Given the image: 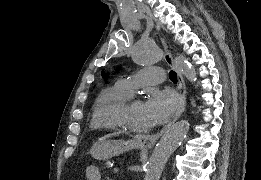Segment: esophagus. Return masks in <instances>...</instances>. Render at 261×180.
<instances>
[{"instance_id": "34e87169", "label": "esophagus", "mask_w": 261, "mask_h": 180, "mask_svg": "<svg viewBox=\"0 0 261 180\" xmlns=\"http://www.w3.org/2000/svg\"><path fill=\"white\" fill-rule=\"evenodd\" d=\"M161 42H162L163 48H164V60L168 65L175 68L177 76H178L180 105H179V108H178L176 114L171 118L169 123H167V125H165L162 128V130H160V132L156 133L155 135H138L137 136L138 143H140L145 148L154 147L155 143L161 137V135H163L171 127V125H173V123L176 122V120H178L180 115H182V113L185 109V105H186V86H185V82H184L182 73L179 70V68H177L174 65L173 58L167 48L165 39L161 38Z\"/></svg>"}]
</instances>
